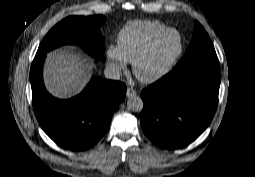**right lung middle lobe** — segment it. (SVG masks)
<instances>
[{
    "instance_id": "dd1d6c3e",
    "label": "right lung middle lobe",
    "mask_w": 255,
    "mask_h": 177,
    "mask_svg": "<svg viewBox=\"0 0 255 177\" xmlns=\"http://www.w3.org/2000/svg\"><path fill=\"white\" fill-rule=\"evenodd\" d=\"M106 21L102 15L78 17L70 16L55 25L41 42L36 55L64 44H78L95 57L104 53V38L99 27Z\"/></svg>"
}]
</instances>
